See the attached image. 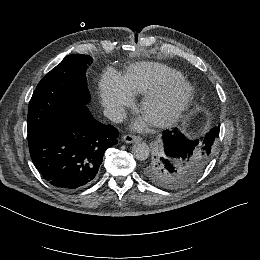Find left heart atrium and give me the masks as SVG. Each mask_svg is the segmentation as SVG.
<instances>
[{"label":"left heart atrium","instance_id":"39dd6f15","mask_svg":"<svg viewBox=\"0 0 260 260\" xmlns=\"http://www.w3.org/2000/svg\"><path fill=\"white\" fill-rule=\"evenodd\" d=\"M145 125L144 121L140 120L134 123L135 128H141Z\"/></svg>","mask_w":260,"mask_h":260}]
</instances>
